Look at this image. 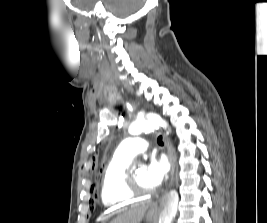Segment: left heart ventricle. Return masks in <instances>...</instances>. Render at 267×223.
<instances>
[{"label":"left heart ventricle","mask_w":267,"mask_h":223,"mask_svg":"<svg viewBox=\"0 0 267 223\" xmlns=\"http://www.w3.org/2000/svg\"><path fill=\"white\" fill-rule=\"evenodd\" d=\"M134 179L137 183V185L147 191H151L153 188L147 183L145 179V169L139 168L133 173Z\"/></svg>","instance_id":"obj_1"}]
</instances>
